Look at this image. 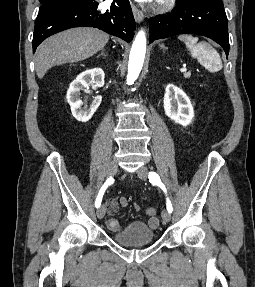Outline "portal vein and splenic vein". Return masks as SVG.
<instances>
[{"label": "portal vein and splenic vein", "instance_id": "18ae733b", "mask_svg": "<svg viewBox=\"0 0 255 287\" xmlns=\"http://www.w3.org/2000/svg\"><path fill=\"white\" fill-rule=\"evenodd\" d=\"M180 72H187V68H185V64H184L183 68H181Z\"/></svg>", "mask_w": 255, "mask_h": 287}]
</instances>
